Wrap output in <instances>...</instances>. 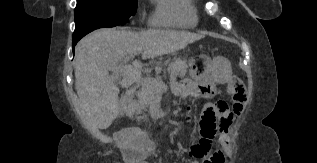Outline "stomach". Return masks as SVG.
<instances>
[{
	"instance_id": "1",
	"label": "stomach",
	"mask_w": 317,
	"mask_h": 163,
	"mask_svg": "<svg viewBox=\"0 0 317 163\" xmlns=\"http://www.w3.org/2000/svg\"><path fill=\"white\" fill-rule=\"evenodd\" d=\"M232 73L231 63L222 56L206 57L199 66H195L192 74L195 78H210L217 83L226 82Z\"/></svg>"
}]
</instances>
